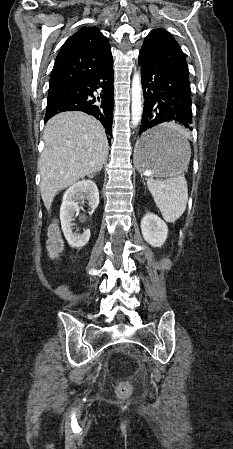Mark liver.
Segmentation results:
<instances>
[{
    "label": "liver",
    "mask_w": 233,
    "mask_h": 449,
    "mask_svg": "<svg viewBox=\"0 0 233 449\" xmlns=\"http://www.w3.org/2000/svg\"><path fill=\"white\" fill-rule=\"evenodd\" d=\"M43 139L38 170L41 197L49 210L59 191L102 169L108 141L102 124L80 111L52 117L45 126Z\"/></svg>",
    "instance_id": "6515ba94"
}]
</instances>
